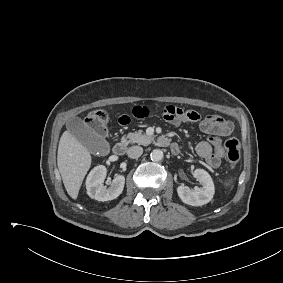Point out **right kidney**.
Listing matches in <instances>:
<instances>
[{"label":"right kidney","mask_w":283,"mask_h":283,"mask_svg":"<svg viewBox=\"0 0 283 283\" xmlns=\"http://www.w3.org/2000/svg\"><path fill=\"white\" fill-rule=\"evenodd\" d=\"M107 174V168L103 165L94 167L86 179V189L89 197L98 201L116 199L123 191L125 177L117 175L107 188L103 182Z\"/></svg>","instance_id":"ca27d5eb"}]
</instances>
